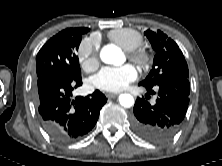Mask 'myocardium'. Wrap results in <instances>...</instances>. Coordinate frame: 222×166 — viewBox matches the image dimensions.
I'll list each match as a JSON object with an SVG mask.
<instances>
[{
  "mask_svg": "<svg viewBox=\"0 0 222 166\" xmlns=\"http://www.w3.org/2000/svg\"><path fill=\"white\" fill-rule=\"evenodd\" d=\"M129 58L140 67H146L150 62L148 53L141 48L129 51Z\"/></svg>",
  "mask_w": 222,
  "mask_h": 166,
  "instance_id": "f54148a6",
  "label": "myocardium"
}]
</instances>
